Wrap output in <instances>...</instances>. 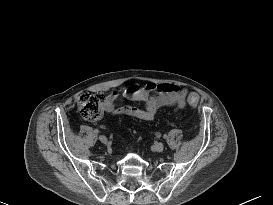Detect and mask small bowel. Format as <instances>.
Returning <instances> with one entry per match:
<instances>
[{
	"mask_svg": "<svg viewBox=\"0 0 273 205\" xmlns=\"http://www.w3.org/2000/svg\"><path fill=\"white\" fill-rule=\"evenodd\" d=\"M191 95V94H190ZM195 95V94H194ZM188 91L171 83L149 82L144 86L136 83L129 84L122 92L112 91L104 101V110L112 117L133 116L141 120H153L161 108L181 109L186 103ZM121 97L139 102L143 107H116Z\"/></svg>",
	"mask_w": 273,
	"mask_h": 205,
	"instance_id": "small-bowel-1",
	"label": "small bowel"
}]
</instances>
